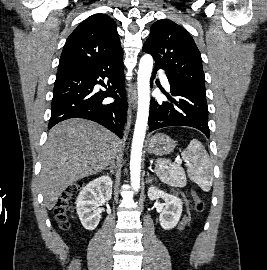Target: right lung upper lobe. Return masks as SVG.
I'll return each mask as SVG.
<instances>
[{
  "instance_id": "1",
  "label": "right lung upper lobe",
  "mask_w": 267,
  "mask_h": 270,
  "mask_svg": "<svg viewBox=\"0 0 267 270\" xmlns=\"http://www.w3.org/2000/svg\"><path fill=\"white\" fill-rule=\"evenodd\" d=\"M117 57H123V50L116 23L105 14H96L84 20L68 37L58 72L85 68Z\"/></svg>"
}]
</instances>
